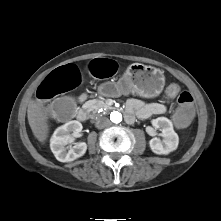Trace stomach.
Segmentation results:
<instances>
[{
	"label": "stomach",
	"mask_w": 221,
	"mask_h": 221,
	"mask_svg": "<svg viewBox=\"0 0 221 221\" xmlns=\"http://www.w3.org/2000/svg\"><path fill=\"white\" fill-rule=\"evenodd\" d=\"M163 71L140 63L129 65L122 77L110 85L113 94H133L144 98L158 96L164 87Z\"/></svg>",
	"instance_id": "1"
}]
</instances>
